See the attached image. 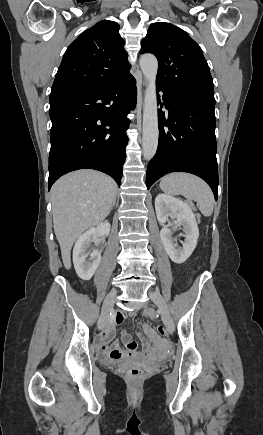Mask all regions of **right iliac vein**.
<instances>
[{"instance_id": "63e3f726", "label": "right iliac vein", "mask_w": 263, "mask_h": 435, "mask_svg": "<svg viewBox=\"0 0 263 435\" xmlns=\"http://www.w3.org/2000/svg\"><path fill=\"white\" fill-rule=\"evenodd\" d=\"M116 295H117V293L115 291L109 293L103 302L102 313H101L99 323H98V328L100 330L104 328V326L108 320L109 312L114 305Z\"/></svg>"}]
</instances>
